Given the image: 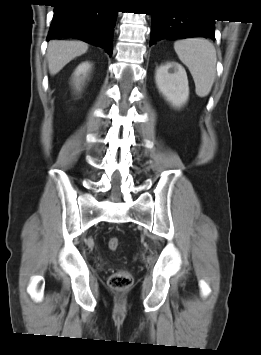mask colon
Returning a JSON list of instances; mask_svg holds the SVG:
<instances>
[{"label":"colon","mask_w":261,"mask_h":355,"mask_svg":"<svg viewBox=\"0 0 261 355\" xmlns=\"http://www.w3.org/2000/svg\"><path fill=\"white\" fill-rule=\"evenodd\" d=\"M107 246L111 251H116L120 247V240L117 237H110L107 242ZM109 286L116 291H124L128 289L132 283L133 278L129 271L120 270L115 272L109 278Z\"/></svg>","instance_id":"colon-1"}]
</instances>
